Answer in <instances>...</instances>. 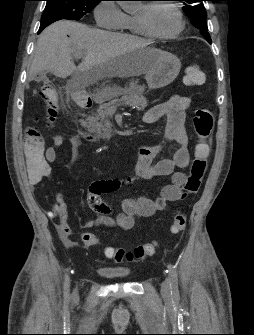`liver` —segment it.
I'll return each mask as SVG.
<instances>
[{"label": "liver", "instance_id": "liver-1", "mask_svg": "<svg viewBox=\"0 0 254 335\" xmlns=\"http://www.w3.org/2000/svg\"><path fill=\"white\" fill-rule=\"evenodd\" d=\"M149 44L132 35L93 29L69 20L57 21L38 38L29 80L48 71L60 78L73 75L84 86L107 77L140 76L154 64L146 50ZM77 53L83 54L78 66L73 60Z\"/></svg>", "mask_w": 254, "mask_h": 335}]
</instances>
